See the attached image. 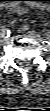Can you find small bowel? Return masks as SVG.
Returning a JSON list of instances; mask_svg holds the SVG:
<instances>
[{
    "instance_id": "1",
    "label": "small bowel",
    "mask_w": 50,
    "mask_h": 111,
    "mask_svg": "<svg viewBox=\"0 0 50 111\" xmlns=\"http://www.w3.org/2000/svg\"><path fill=\"white\" fill-rule=\"evenodd\" d=\"M14 11L19 14V15H23L26 13V8H24L23 6H17ZM26 30V26L21 27V31H25Z\"/></svg>"
}]
</instances>
